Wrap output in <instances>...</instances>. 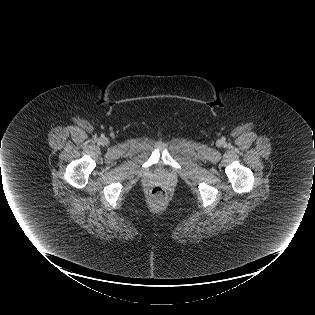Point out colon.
<instances>
[{
    "instance_id": "1",
    "label": "colon",
    "mask_w": 315,
    "mask_h": 315,
    "mask_svg": "<svg viewBox=\"0 0 315 315\" xmlns=\"http://www.w3.org/2000/svg\"><path fill=\"white\" fill-rule=\"evenodd\" d=\"M150 198L156 204H162L167 199V192L161 186H154L150 190Z\"/></svg>"
}]
</instances>
